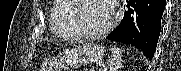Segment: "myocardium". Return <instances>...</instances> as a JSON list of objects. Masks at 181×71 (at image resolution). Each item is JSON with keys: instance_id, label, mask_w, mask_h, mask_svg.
<instances>
[{"instance_id": "f54148a6", "label": "myocardium", "mask_w": 181, "mask_h": 71, "mask_svg": "<svg viewBox=\"0 0 181 71\" xmlns=\"http://www.w3.org/2000/svg\"><path fill=\"white\" fill-rule=\"evenodd\" d=\"M65 1H68L71 3V6H72L71 25H72L73 30L76 32V34L79 37H82L85 39H97V38H101L107 35L114 29L116 25V17L114 14V7L111 5V1L103 0L108 4L110 8L111 17H110L109 23L99 31H89L81 25L78 18V13L80 11V1L82 0H65Z\"/></svg>"}]
</instances>
